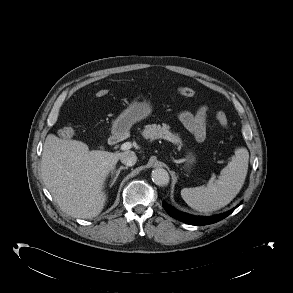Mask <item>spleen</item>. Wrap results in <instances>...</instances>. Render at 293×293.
Returning <instances> with one entry per match:
<instances>
[{
  "instance_id": "spleen-1",
  "label": "spleen",
  "mask_w": 293,
  "mask_h": 293,
  "mask_svg": "<svg viewBox=\"0 0 293 293\" xmlns=\"http://www.w3.org/2000/svg\"><path fill=\"white\" fill-rule=\"evenodd\" d=\"M248 161V150L244 147L237 148L232 160L221 170L216 182L210 181L207 186L183 188V200L199 212H212L228 205L244 184Z\"/></svg>"
}]
</instances>
